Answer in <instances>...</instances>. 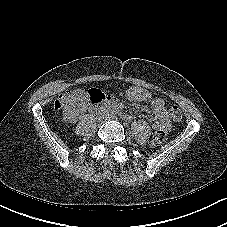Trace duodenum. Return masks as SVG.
<instances>
[{"mask_svg":"<svg viewBox=\"0 0 227 227\" xmlns=\"http://www.w3.org/2000/svg\"><path fill=\"white\" fill-rule=\"evenodd\" d=\"M90 104L93 107H98L100 105H109L114 107L113 112L116 115H120L121 118L131 119V116L126 114L122 107L118 106L116 100L111 96L105 94V92L100 88L93 89L89 94Z\"/></svg>","mask_w":227,"mask_h":227,"instance_id":"1","label":"duodenum"}]
</instances>
